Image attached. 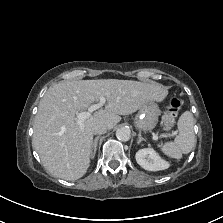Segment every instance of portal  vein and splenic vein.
<instances>
[{"label": "portal vein and splenic vein", "instance_id": "18ae733b", "mask_svg": "<svg viewBox=\"0 0 223 223\" xmlns=\"http://www.w3.org/2000/svg\"><path fill=\"white\" fill-rule=\"evenodd\" d=\"M105 103H106L105 98H104L103 96H101V97L99 98V102H98L97 104H93V105H91V106L88 108V111L77 113V114H76V121H77V124H78V125H82V123H83L87 118L91 117L92 113H93L95 110H97V109L103 107V106L105 105ZM167 136H169V135H167V134H163V135H162V137H167ZM158 138H159L158 135L153 134V139H154V140H158Z\"/></svg>", "mask_w": 223, "mask_h": 223}]
</instances>
